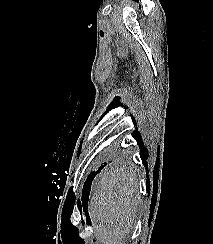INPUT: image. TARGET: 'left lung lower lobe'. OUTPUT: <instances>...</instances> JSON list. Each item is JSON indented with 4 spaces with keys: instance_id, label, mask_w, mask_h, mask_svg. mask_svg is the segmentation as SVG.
I'll use <instances>...</instances> for the list:
<instances>
[{
    "instance_id": "0a47b994",
    "label": "left lung lower lobe",
    "mask_w": 213,
    "mask_h": 244,
    "mask_svg": "<svg viewBox=\"0 0 213 244\" xmlns=\"http://www.w3.org/2000/svg\"><path fill=\"white\" fill-rule=\"evenodd\" d=\"M105 167V164L103 165V166H101L99 169H98V171L97 172H92L89 176H88V178H87V180H86V182H85V184H84V188H83V195L86 197V199H85V201H87L88 200V195H89V192H90V187H91V182H92V180H93V178L97 175V173H99L103 168Z\"/></svg>"
}]
</instances>
